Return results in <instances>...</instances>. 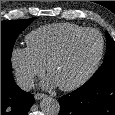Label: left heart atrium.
<instances>
[{
    "instance_id": "left-heart-atrium-1",
    "label": "left heart atrium",
    "mask_w": 115,
    "mask_h": 115,
    "mask_svg": "<svg viewBox=\"0 0 115 115\" xmlns=\"http://www.w3.org/2000/svg\"><path fill=\"white\" fill-rule=\"evenodd\" d=\"M44 85H45L46 87H48V88H52V87L56 86L57 83H56L51 77H49V78H47V80L45 81Z\"/></svg>"
}]
</instances>
